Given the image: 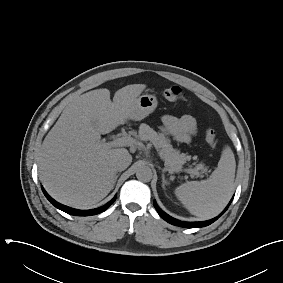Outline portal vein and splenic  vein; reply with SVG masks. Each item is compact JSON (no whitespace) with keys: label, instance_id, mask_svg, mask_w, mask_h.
<instances>
[{"label":"portal vein and splenic vein","instance_id":"obj_1","mask_svg":"<svg viewBox=\"0 0 283 283\" xmlns=\"http://www.w3.org/2000/svg\"><path fill=\"white\" fill-rule=\"evenodd\" d=\"M106 146L108 147H124V146H134L137 145V141L136 139L132 138V137H128V136H122L119 138L114 139L113 141L109 142V143H105ZM156 149H158L157 146H155ZM159 156L161 157V159H163V154L160 151L159 152ZM164 160V159H163ZM166 165V164H165ZM168 170L170 172H173L171 169L168 168ZM180 171L188 173L190 175L195 174L199 176L198 172H194L192 169H181Z\"/></svg>","mask_w":283,"mask_h":283}]
</instances>
